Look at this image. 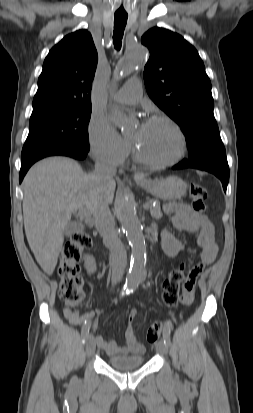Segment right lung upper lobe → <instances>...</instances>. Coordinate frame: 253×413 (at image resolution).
I'll return each instance as SVG.
<instances>
[{
    "instance_id": "1",
    "label": "right lung upper lobe",
    "mask_w": 253,
    "mask_h": 413,
    "mask_svg": "<svg viewBox=\"0 0 253 413\" xmlns=\"http://www.w3.org/2000/svg\"><path fill=\"white\" fill-rule=\"evenodd\" d=\"M97 61V51L87 30L65 36L49 51L44 61L33 99V112L91 106Z\"/></svg>"
}]
</instances>
